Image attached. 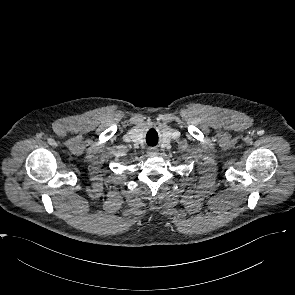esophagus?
<instances>
[{
  "mask_svg": "<svg viewBox=\"0 0 295 295\" xmlns=\"http://www.w3.org/2000/svg\"><path fill=\"white\" fill-rule=\"evenodd\" d=\"M147 154L149 156L157 155L158 154V149L155 148V147L149 148L148 151H147Z\"/></svg>",
  "mask_w": 295,
  "mask_h": 295,
  "instance_id": "obj_1",
  "label": "esophagus"
}]
</instances>
